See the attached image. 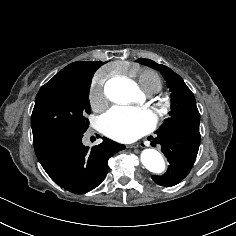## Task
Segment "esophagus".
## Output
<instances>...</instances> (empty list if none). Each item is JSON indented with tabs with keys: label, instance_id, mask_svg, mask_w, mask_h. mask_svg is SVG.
<instances>
[{
	"label": "esophagus",
	"instance_id": "esophagus-1",
	"mask_svg": "<svg viewBox=\"0 0 236 236\" xmlns=\"http://www.w3.org/2000/svg\"><path fill=\"white\" fill-rule=\"evenodd\" d=\"M128 147H129V148H133V147H136V146H135V145H129Z\"/></svg>",
	"mask_w": 236,
	"mask_h": 236
}]
</instances>
